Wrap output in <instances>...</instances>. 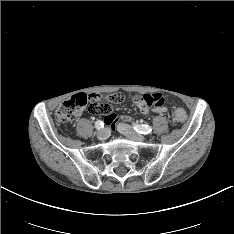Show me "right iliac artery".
Returning <instances> with one entry per match:
<instances>
[{
    "label": "right iliac artery",
    "mask_w": 234,
    "mask_h": 234,
    "mask_svg": "<svg viewBox=\"0 0 234 234\" xmlns=\"http://www.w3.org/2000/svg\"><path fill=\"white\" fill-rule=\"evenodd\" d=\"M103 127H104V123L102 121L97 120L95 122V128L100 129V128H103Z\"/></svg>",
    "instance_id": "obj_1"
}]
</instances>
